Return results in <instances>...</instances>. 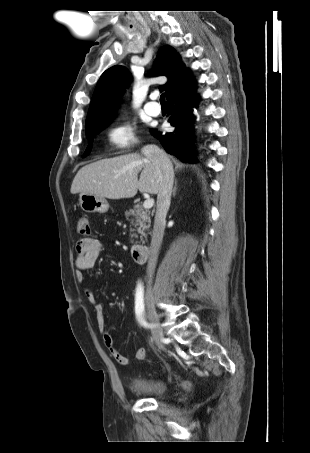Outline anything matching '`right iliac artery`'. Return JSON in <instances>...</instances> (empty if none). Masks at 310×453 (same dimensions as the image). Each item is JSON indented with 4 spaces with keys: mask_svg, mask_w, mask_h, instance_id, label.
<instances>
[{
    "mask_svg": "<svg viewBox=\"0 0 310 453\" xmlns=\"http://www.w3.org/2000/svg\"><path fill=\"white\" fill-rule=\"evenodd\" d=\"M143 296H144V290H143V286L142 284H138L137 288H136V294H135V313H136V316H137V319L138 321L142 324V325H145V323H143L142 321V313L144 312V299H143Z\"/></svg>",
    "mask_w": 310,
    "mask_h": 453,
    "instance_id": "obj_1",
    "label": "right iliac artery"
}]
</instances>
